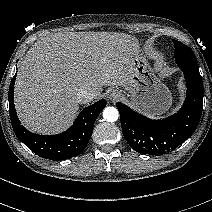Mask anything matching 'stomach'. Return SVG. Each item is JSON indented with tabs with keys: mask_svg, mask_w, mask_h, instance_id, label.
<instances>
[{
	"mask_svg": "<svg viewBox=\"0 0 212 212\" xmlns=\"http://www.w3.org/2000/svg\"><path fill=\"white\" fill-rule=\"evenodd\" d=\"M125 83L121 97L142 112L164 113L172 103L169 89L164 85L138 46L131 49L125 66Z\"/></svg>",
	"mask_w": 212,
	"mask_h": 212,
	"instance_id": "0dacf381",
	"label": "stomach"
}]
</instances>
